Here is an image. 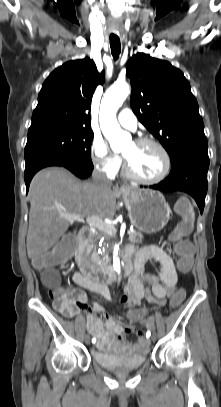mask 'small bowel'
<instances>
[{
  "mask_svg": "<svg viewBox=\"0 0 221 407\" xmlns=\"http://www.w3.org/2000/svg\"><path fill=\"white\" fill-rule=\"evenodd\" d=\"M127 253L130 256L133 255L134 266L133 273L125 287V296L120 299L125 310L130 309L132 305H141V300L144 298L151 303L165 305L170 292L177 289L178 274L171 257L163 249L154 245L142 247L137 251L130 247ZM151 261L160 265L159 277L144 271L146 264ZM72 281L74 286L69 288V291L77 296V302L65 315L71 317L80 311L85 313L87 331L95 337L99 351H123L134 354L147 350V341L142 336L136 344L125 341L126 335L135 331L133 325L118 322L97 301L88 302L83 290L100 294L106 300L111 299L110 291L103 283L96 282L80 272L73 274ZM98 314L103 315L104 323Z\"/></svg>",
  "mask_w": 221,
  "mask_h": 407,
  "instance_id": "1",
  "label": "small bowel"
}]
</instances>
